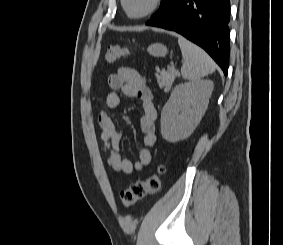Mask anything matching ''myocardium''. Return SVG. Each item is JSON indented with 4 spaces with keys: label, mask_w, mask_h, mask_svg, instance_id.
I'll return each mask as SVG.
<instances>
[{
    "label": "myocardium",
    "mask_w": 283,
    "mask_h": 245,
    "mask_svg": "<svg viewBox=\"0 0 283 245\" xmlns=\"http://www.w3.org/2000/svg\"><path fill=\"white\" fill-rule=\"evenodd\" d=\"M162 3H163V0H153L151 6L146 11H144L141 14L133 15L129 12L126 6V0H121V5H122V8L126 16L133 20H139V19H144L146 17H149L161 7Z\"/></svg>",
    "instance_id": "myocardium-1"
}]
</instances>
